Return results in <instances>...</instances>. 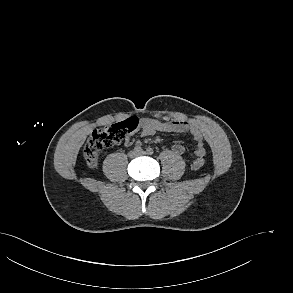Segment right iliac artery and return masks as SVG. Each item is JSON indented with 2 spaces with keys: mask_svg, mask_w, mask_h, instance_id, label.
<instances>
[{
  "mask_svg": "<svg viewBox=\"0 0 293 293\" xmlns=\"http://www.w3.org/2000/svg\"><path fill=\"white\" fill-rule=\"evenodd\" d=\"M134 151L136 152V153H139V152H141L142 151V148H141V146H136L135 148H134Z\"/></svg>",
  "mask_w": 293,
  "mask_h": 293,
  "instance_id": "right-iliac-artery-1",
  "label": "right iliac artery"
}]
</instances>
